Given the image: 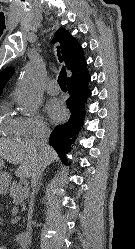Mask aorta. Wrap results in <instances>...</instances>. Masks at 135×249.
<instances>
[{"label": "aorta", "mask_w": 135, "mask_h": 249, "mask_svg": "<svg viewBox=\"0 0 135 249\" xmlns=\"http://www.w3.org/2000/svg\"><path fill=\"white\" fill-rule=\"evenodd\" d=\"M45 76L46 69L42 62L34 61L26 66L16 92L17 103L25 113L32 114L39 108Z\"/></svg>", "instance_id": "762f6f07"}]
</instances>
